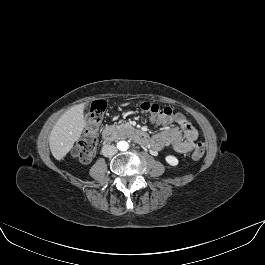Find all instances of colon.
I'll return each instance as SVG.
<instances>
[{
    "instance_id": "1",
    "label": "colon",
    "mask_w": 265,
    "mask_h": 265,
    "mask_svg": "<svg viewBox=\"0 0 265 265\" xmlns=\"http://www.w3.org/2000/svg\"><path fill=\"white\" fill-rule=\"evenodd\" d=\"M139 108L149 113L152 116L158 118H175L180 119L183 117L182 114L175 112L170 107H161L156 103L141 102L138 104ZM106 105L103 101L98 100L92 103L91 108L86 116V131L84 136L76 143L73 148V155L78 158L81 162H89L97 148L98 138L97 133L102 122ZM204 154L203 148L199 147L192 153V157L195 160L202 158Z\"/></svg>"
}]
</instances>
